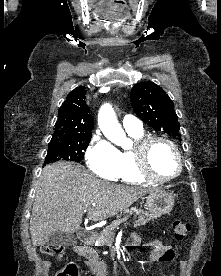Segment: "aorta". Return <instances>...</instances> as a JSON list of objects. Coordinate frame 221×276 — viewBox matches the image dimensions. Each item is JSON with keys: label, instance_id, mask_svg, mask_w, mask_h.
<instances>
[{"label": "aorta", "instance_id": "762f6f07", "mask_svg": "<svg viewBox=\"0 0 221 276\" xmlns=\"http://www.w3.org/2000/svg\"><path fill=\"white\" fill-rule=\"evenodd\" d=\"M98 125L105 137L111 142L122 147L126 145L128 139L110 104H104L100 108L98 113Z\"/></svg>", "mask_w": 221, "mask_h": 276}]
</instances>
